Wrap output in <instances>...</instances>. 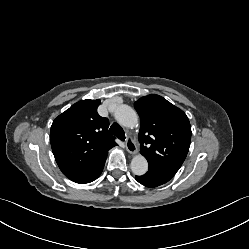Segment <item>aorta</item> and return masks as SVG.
<instances>
[{"mask_svg": "<svg viewBox=\"0 0 249 249\" xmlns=\"http://www.w3.org/2000/svg\"><path fill=\"white\" fill-rule=\"evenodd\" d=\"M116 121L125 127L133 128L138 124L137 113L128 105H119L114 111ZM131 171L137 176L144 175L148 170V162L143 155H136L131 161Z\"/></svg>", "mask_w": 249, "mask_h": 249, "instance_id": "obj_1", "label": "aorta"}]
</instances>
